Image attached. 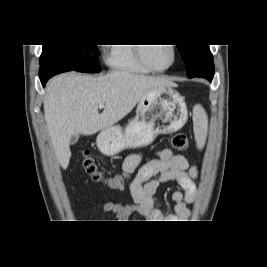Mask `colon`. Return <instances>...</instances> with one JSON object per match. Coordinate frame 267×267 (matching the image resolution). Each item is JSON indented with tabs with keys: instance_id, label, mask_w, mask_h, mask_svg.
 Wrapping results in <instances>:
<instances>
[{
	"instance_id": "colon-1",
	"label": "colon",
	"mask_w": 267,
	"mask_h": 267,
	"mask_svg": "<svg viewBox=\"0 0 267 267\" xmlns=\"http://www.w3.org/2000/svg\"><path fill=\"white\" fill-rule=\"evenodd\" d=\"M171 145L175 150L185 151L189 146L188 136L184 132L176 133L171 140ZM83 168L85 172L94 180L98 182H105L110 188H123L127 185V178L124 180V175H114V177L107 178L98 162L92 156L86 154L83 159ZM122 176V177H121Z\"/></svg>"
}]
</instances>
